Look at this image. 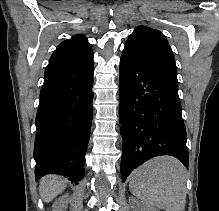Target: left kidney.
Returning <instances> with one entry per match:
<instances>
[{
  "label": "left kidney",
  "mask_w": 219,
  "mask_h": 211,
  "mask_svg": "<svg viewBox=\"0 0 219 211\" xmlns=\"http://www.w3.org/2000/svg\"><path fill=\"white\" fill-rule=\"evenodd\" d=\"M134 211H139L137 207H134ZM140 211H159L156 207H141Z\"/></svg>",
  "instance_id": "left-kidney-1"
}]
</instances>
